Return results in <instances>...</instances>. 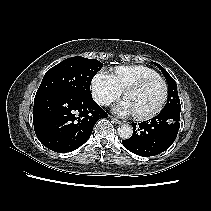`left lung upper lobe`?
Instances as JSON below:
<instances>
[{"mask_svg":"<svg viewBox=\"0 0 211 211\" xmlns=\"http://www.w3.org/2000/svg\"><path fill=\"white\" fill-rule=\"evenodd\" d=\"M162 71L168 84V99L165 107L162 110H181L180 100L177 92V84L169 73L159 64L154 63Z\"/></svg>","mask_w":211,"mask_h":211,"instance_id":"obj_1","label":"left lung upper lobe"}]
</instances>
